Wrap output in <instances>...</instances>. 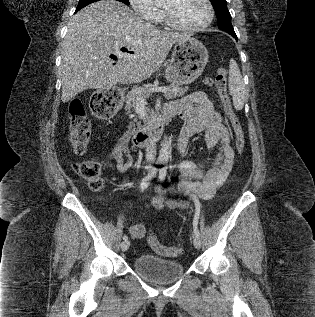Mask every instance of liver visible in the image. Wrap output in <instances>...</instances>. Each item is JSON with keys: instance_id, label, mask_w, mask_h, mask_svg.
I'll return each instance as SVG.
<instances>
[{"instance_id": "obj_1", "label": "liver", "mask_w": 315, "mask_h": 317, "mask_svg": "<svg viewBox=\"0 0 315 317\" xmlns=\"http://www.w3.org/2000/svg\"><path fill=\"white\" fill-rule=\"evenodd\" d=\"M190 34L161 31L115 0H101L76 13L62 42V101L86 89H108L117 83L148 79L166 59L173 44ZM133 53L123 55L120 48ZM118 57L117 64L109 56Z\"/></svg>"}]
</instances>
